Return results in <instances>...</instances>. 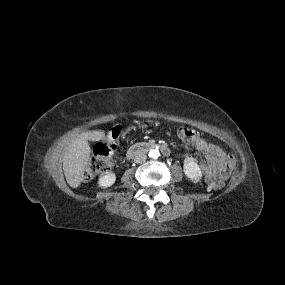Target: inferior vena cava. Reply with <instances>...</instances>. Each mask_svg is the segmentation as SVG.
<instances>
[{
	"label": "inferior vena cava",
	"mask_w": 285,
	"mask_h": 285,
	"mask_svg": "<svg viewBox=\"0 0 285 285\" xmlns=\"http://www.w3.org/2000/svg\"><path fill=\"white\" fill-rule=\"evenodd\" d=\"M146 159H147V156L144 153H139L134 157V161L137 164L144 163Z\"/></svg>",
	"instance_id": "602c4592"
}]
</instances>
